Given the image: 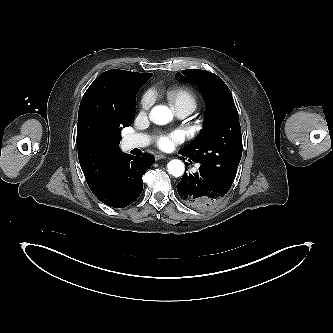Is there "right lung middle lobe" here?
I'll return each instance as SVG.
<instances>
[{"label":"right lung middle lobe","mask_w":333,"mask_h":333,"mask_svg":"<svg viewBox=\"0 0 333 333\" xmlns=\"http://www.w3.org/2000/svg\"><path fill=\"white\" fill-rule=\"evenodd\" d=\"M151 76H152V74H151ZM132 122H133V120H130V122H128L125 126H129V125H131Z\"/></svg>","instance_id":"obj_1"}]
</instances>
